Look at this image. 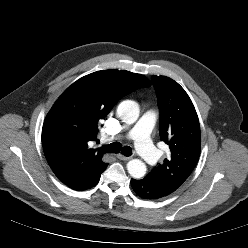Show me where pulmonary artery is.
Returning <instances> with one entry per match:
<instances>
[{
	"mask_svg": "<svg viewBox=\"0 0 248 248\" xmlns=\"http://www.w3.org/2000/svg\"><path fill=\"white\" fill-rule=\"evenodd\" d=\"M156 117L157 113L153 109L146 110L126 136L134 140L137 152L151 164L156 163L161 156L160 151L154 147L150 140V132ZM116 138H121V136Z\"/></svg>",
	"mask_w": 248,
	"mask_h": 248,
	"instance_id": "e3ab8cb5",
	"label": "pulmonary artery"
}]
</instances>
